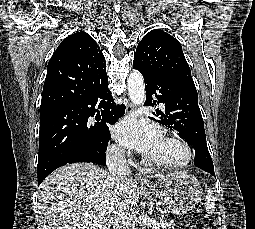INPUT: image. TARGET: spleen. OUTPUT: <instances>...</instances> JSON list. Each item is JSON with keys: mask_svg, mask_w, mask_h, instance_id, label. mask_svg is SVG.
I'll use <instances>...</instances> for the list:
<instances>
[{"mask_svg": "<svg viewBox=\"0 0 255 229\" xmlns=\"http://www.w3.org/2000/svg\"><path fill=\"white\" fill-rule=\"evenodd\" d=\"M205 210L208 214H213L215 211V196L212 189H209L205 197Z\"/></svg>", "mask_w": 255, "mask_h": 229, "instance_id": "3e777b00", "label": "spleen"}]
</instances>
